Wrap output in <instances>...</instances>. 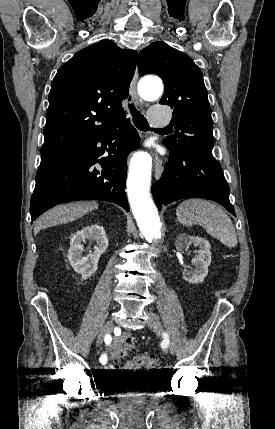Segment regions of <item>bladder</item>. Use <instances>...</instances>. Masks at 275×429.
<instances>
[{"label": "bladder", "mask_w": 275, "mask_h": 429, "mask_svg": "<svg viewBox=\"0 0 275 429\" xmlns=\"http://www.w3.org/2000/svg\"><path fill=\"white\" fill-rule=\"evenodd\" d=\"M106 386V398H117V403H146L158 393L153 377H106Z\"/></svg>", "instance_id": "31cf9c89"}]
</instances>
